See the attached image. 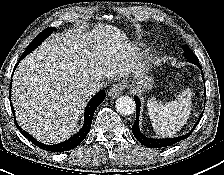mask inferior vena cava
<instances>
[{
    "instance_id": "1",
    "label": "inferior vena cava",
    "mask_w": 224,
    "mask_h": 175,
    "mask_svg": "<svg viewBox=\"0 0 224 175\" xmlns=\"http://www.w3.org/2000/svg\"><path fill=\"white\" fill-rule=\"evenodd\" d=\"M102 86V82H93L85 86L84 92L87 96H92L95 94L99 88Z\"/></svg>"
}]
</instances>
